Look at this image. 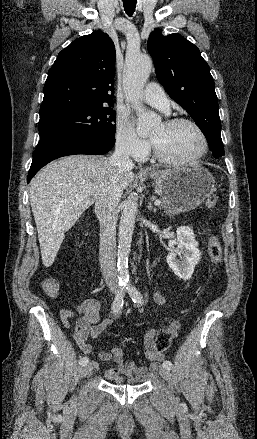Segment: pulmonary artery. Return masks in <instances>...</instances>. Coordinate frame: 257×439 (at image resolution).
I'll return each instance as SVG.
<instances>
[{
  "mask_svg": "<svg viewBox=\"0 0 257 439\" xmlns=\"http://www.w3.org/2000/svg\"><path fill=\"white\" fill-rule=\"evenodd\" d=\"M143 99L155 108L164 112L169 111V100L163 89L156 83H150L145 87Z\"/></svg>",
  "mask_w": 257,
  "mask_h": 439,
  "instance_id": "e3ab8cb5",
  "label": "pulmonary artery"
}]
</instances>
